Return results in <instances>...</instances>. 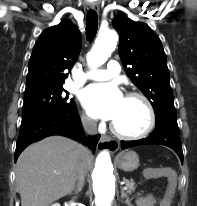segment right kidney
Wrapping results in <instances>:
<instances>
[{
  "mask_svg": "<svg viewBox=\"0 0 197 206\" xmlns=\"http://www.w3.org/2000/svg\"><path fill=\"white\" fill-rule=\"evenodd\" d=\"M51 206H60L59 203L52 204Z\"/></svg>",
  "mask_w": 197,
  "mask_h": 206,
  "instance_id": "obj_1",
  "label": "right kidney"
}]
</instances>
